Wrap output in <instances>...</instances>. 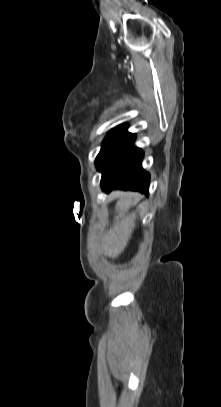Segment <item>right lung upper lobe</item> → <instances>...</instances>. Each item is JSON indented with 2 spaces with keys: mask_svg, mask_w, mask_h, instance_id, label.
Instances as JSON below:
<instances>
[{
  "mask_svg": "<svg viewBox=\"0 0 221 407\" xmlns=\"http://www.w3.org/2000/svg\"><path fill=\"white\" fill-rule=\"evenodd\" d=\"M127 127H128L127 124H123V125L118 126L117 128H127Z\"/></svg>",
  "mask_w": 221,
  "mask_h": 407,
  "instance_id": "right-lung-upper-lobe-1",
  "label": "right lung upper lobe"
}]
</instances>
